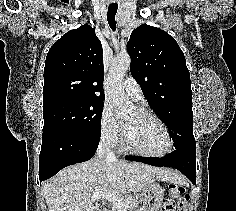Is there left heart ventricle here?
I'll list each match as a JSON object with an SVG mask.
<instances>
[{
  "label": "left heart ventricle",
  "instance_id": "obj_1",
  "mask_svg": "<svg viewBox=\"0 0 236 211\" xmlns=\"http://www.w3.org/2000/svg\"><path fill=\"white\" fill-rule=\"evenodd\" d=\"M132 145L147 153H161L167 145L163 128L154 120L134 110L124 119Z\"/></svg>",
  "mask_w": 236,
  "mask_h": 211
}]
</instances>
